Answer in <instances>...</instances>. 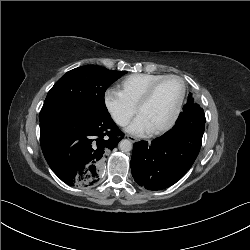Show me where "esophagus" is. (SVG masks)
<instances>
[{
  "label": "esophagus",
  "instance_id": "esophagus-1",
  "mask_svg": "<svg viewBox=\"0 0 250 250\" xmlns=\"http://www.w3.org/2000/svg\"><path fill=\"white\" fill-rule=\"evenodd\" d=\"M127 138L131 141V142H136L138 139L134 136L128 135Z\"/></svg>",
  "mask_w": 250,
  "mask_h": 250
}]
</instances>
